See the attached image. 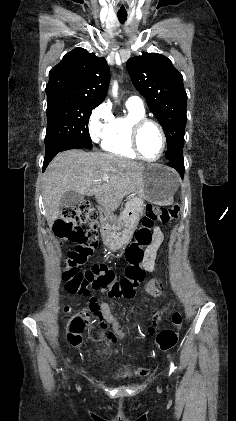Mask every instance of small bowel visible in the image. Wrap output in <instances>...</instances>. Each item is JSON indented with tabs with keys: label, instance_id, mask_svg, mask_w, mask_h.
<instances>
[{
	"label": "small bowel",
	"instance_id": "small-bowel-1",
	"mask_svg": "<svg viewBox=\"0 0 236 421\" xmlns=\"http://www.w3.org/2000/svg\"><path fill=\"white\" fill-rule=\"evenodd\" d=\"M153 235H154V244H153V247L149 250V254H148L147 259L145 261V264L147 266H149L150 262L152 261L153 250L157 249L159 247V245L161 244L162 240H163V234L158 227L154 228ZM148 290L153 295H159L160 294L159 286L155 282H152L148 285ZM91 305H92L93 308L100 310V314L103 316L105 321L113 324L114 326L117 325V323L114 321L112 315L110 314L109 307L106 303H101L100 305H97L96 303H94V301H92Z\"/></svg>",
	"mask_w": 236,
	"mask_h": 421
}]
</instances>
